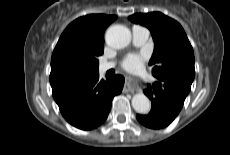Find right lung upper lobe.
Instances as JSON below:
<instances>
[{"label":"right lung upper lobe","mask_w":230,"mask_h":155,"mask_svg":"<svg viewBox=\"0 0 230 155\" xmlns=\"http://www.w3.org/2000/svg\"><path fill=\"white\" fill-rule=\"evenodd\" d=\"M116 18L115 15L91 14L68 25L52 54L51 85L98 72L97 57L104 51V31Z\"/></svg>","instance_id":"1"}]
</instances>
